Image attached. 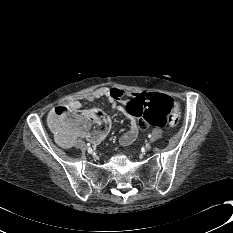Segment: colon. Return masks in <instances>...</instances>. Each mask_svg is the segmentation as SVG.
Wrapping results in <instances>:
<instances>
[{
  "label": "colon",
  "instance_id": "obj_1",
  "mask_svg": "<svg viewBox=\"0 0 233 233\" xmlns=\"http://www.w3.org/2000/svg\"><path fill=\"white\" fill-rule=\"evenodd\" d=\"M127 113L138 119V128L146 130L150 126L176 127L180 122V111L176 102L160 93L140 92L125 102ZM71 110L59 105L49 116V125L55 135H64L74 131L90 134L103 132L109 125V118L102 112L85 111L78 114L73 123L66 124Z\"/></svg>",
  "mask_w": 233,
  "mask_h": 233
}]
</instances>
